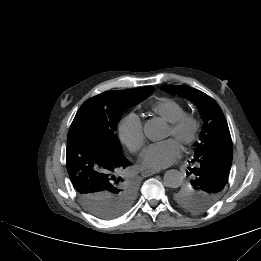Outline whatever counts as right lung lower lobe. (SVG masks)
I'll return each instance as SVG.
<instances>
[{
    "label": "right lung lower lobe",
    "instance_id": "obj_1",
    "mask_svg": "<svg viewBox=\"0 0 261 261\" xmlns=\"http://www.w3.org/2000/svg\"><path fill=\"white\" fill-rule=\"evenodd\" d=\"M66 161L71 182L81 198L97 186L111 184L130 165L121 151L110 150L85 135L68 137Z\"/></svg>",
    "mask_w": 261,
    "mask_h": 261
}]
</instances>
